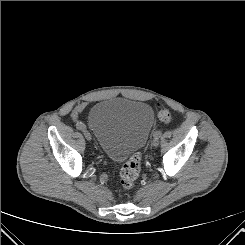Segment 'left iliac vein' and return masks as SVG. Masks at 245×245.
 <instances>
[{
	"label": "left iliac vein",
	"instance_id": "4c4485c4",
	"mask_svg": "<svg viewBox=\"0 0 245 245\" xmlns=\"http://www.w3.org/2000/svg\"><path fill=\"white\" fill-rule=\"evenodd\" d=\"M152 145H153L154 147H157V146L159 145V138H158V137H155V138L153 139Z\"/></svg>",
	"mask_w": 245,
	"mask_h": 245
}]
</instances>
